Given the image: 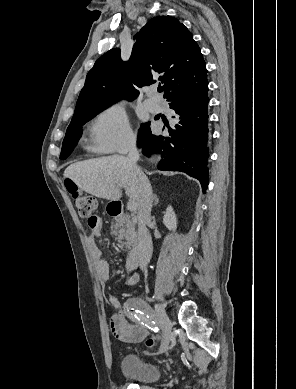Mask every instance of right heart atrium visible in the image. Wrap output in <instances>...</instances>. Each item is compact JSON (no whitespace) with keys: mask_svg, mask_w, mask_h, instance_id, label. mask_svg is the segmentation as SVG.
<instances>
[{"mask_svg":"<svg viewBox=\"0 0 296 389\" xmlns=\"http://www.w3.org/2000/svg\"><path fill=\"white\" fill-rule=\"evenodd\" d=\"M91 147L98 152H123L134 145L135 135L119 105L104 108L90 127Z\"/></svg>","mask_w":296,"mask_h":389,"instance_id":"d8ad5b80","label":"right heart atrium"}]
</instances>
